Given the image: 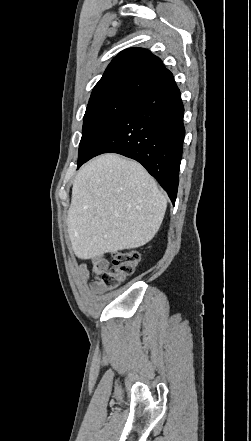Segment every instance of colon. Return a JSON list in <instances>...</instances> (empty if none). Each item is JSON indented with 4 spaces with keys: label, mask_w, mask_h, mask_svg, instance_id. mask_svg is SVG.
Segmentation results:
<instances>
[{
    "label": "colon",
    "mask_w": 251,
    "mask_h": 441,
    "mask_svg": "<svg viewBox=\"0 0 251 441\" xmlns=\"http://www.w3.org/2000/svg\"><path fill=\"white\" fill-rule=\"evenodd\" d=\"M140 261L136 250H121L113 254L112 260L102 273L101 281L107 287H114L129 278Z\"/></svg>",
    "instance_id": "obj_1"
}]
</instances>
